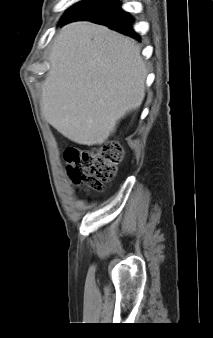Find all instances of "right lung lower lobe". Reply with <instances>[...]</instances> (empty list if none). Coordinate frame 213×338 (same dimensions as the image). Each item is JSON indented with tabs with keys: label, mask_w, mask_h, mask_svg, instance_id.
Segmentation results:
<instances>
[{
	"label": "right lung lower lobe",
	"mask_w": 213,
	"mask_h": 338,
	"mask_svg": "<svg viewBox=\"0 0 213 338\" xmlns=\"http://www.w3.org/2000/svg\"><path fill=\"white\" fill-rule=\"evenodd\" d=\"M78 20H89L102 24L140 40L131 26L133 18L121 8V3L118 0H93L73 12L60 25L63 26Z\"/></svg>",
	"instance_id": "98d812e1"
}]
</instances>
